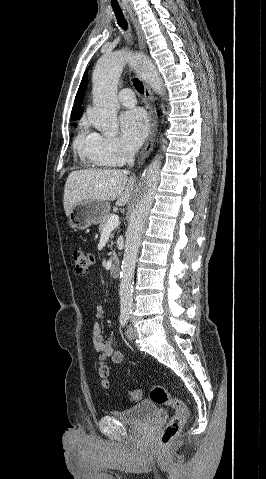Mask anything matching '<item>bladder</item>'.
Returning a JSON list of instances; mask_svg holds the SVG:
<instances>
[{
	"label": "bladder",
	"instance_id": "bladder-1",
	"mask_svg": "<svg viewBox=\"0 0 266 479\" xmlns=\"http://www.w3.org/2000/svg\"><path fill=\"white\" fill-rule=\"evenodd\" d=\"M158 406L153 401H142L121 411H110L111 417L125 424H142L156 416Z\"/></svg>",
	"mask_w": 266,
	"mask_h": 479
}]
</instances>
